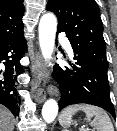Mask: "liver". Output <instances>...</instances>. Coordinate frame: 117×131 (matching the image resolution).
Instances as JSON below:
<instances>
[{
    "label": "liver",
    "mask_w": 117,
    "mask_h": 131,
    "mask_svg": "<svg viewBox=\"0 0 117 131\" xmlns=\"http://www.w3.org/2000/svg\"><path fill=\"white\" fill-rule=\"evenodd\" d=\"M14 118L11 112L0 105V131H13Z\"/></svg>",
    "instance_id": "liver-1"
}]
</instances>
